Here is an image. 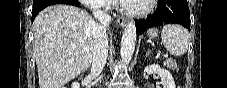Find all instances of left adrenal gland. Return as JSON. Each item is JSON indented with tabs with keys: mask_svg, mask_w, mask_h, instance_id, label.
Segmentation results:
<instances>
[{
	"mask_svg": "<svg viewBox=\"0 0 227 88\" xmlns=\"http://www.w3.org/2000/svg\"><path fill=\"white\" fill-rule=\"evenodd\" d=\"M151 53L150 49L147 50L146 52V57Z\"/></svg>",
	"mask_w": 227,
	"mask_h": 88,
	"instance_id": "obj_1",
	"label": "left adrenal gland"
}]
</instances>
